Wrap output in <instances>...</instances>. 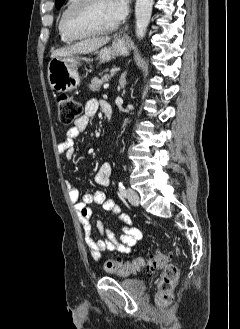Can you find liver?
<instances>
[{
    "mask_svg": "<svg viewBox=\"0 0 240 329\" xmlns=\"http://www.w3.org/2000/svg\"><path fill=\"white\" fill-rule=\"evenodd\" d=\"M109 41H110V37L87 39L70 46L56 49L55 51L52 52L51 58L63 57L73 54H88L99 49Z\"/></svg>",
    "mask_w": 240,
    "mask_h": 329,
    "instance_id": "obj_1",
    "label": "liver"
}]
</instances>
